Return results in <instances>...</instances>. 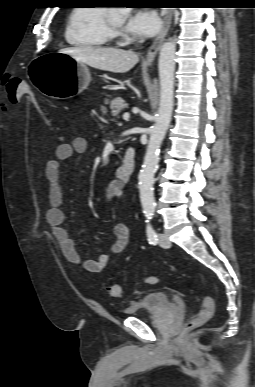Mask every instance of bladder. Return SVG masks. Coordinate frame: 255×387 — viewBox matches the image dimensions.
<instances>
[{"label":"bladder","mask_w":255,"mask_h":387,"mask_svg":"<svg viewBox=\"0 0 255 387\" xmlns=\"http://www.w3.org/2000/svg\"><path fill=\"white\" fill-rule=\"evenodd\" d=\"M173 306L172 299L164 292H149L139 300L132 302L123 310L127 316H139L141 313L157 314Z\"/></svg>","instance_id":"bladder-1"}]
</instances>
